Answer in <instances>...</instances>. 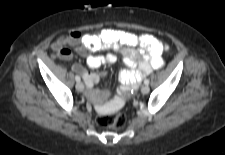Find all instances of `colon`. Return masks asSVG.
<instances>
[{
  "label": "colon",
  "mask_w": 225,
  "mask_h": 155,
  "mask_svg": "<svg viewBox=\"0 0 225 155\" xmlns=\"http://www.w3.org/2000/svg\"><path fill=\"white\" fill-rule=\"evenodd\" d=\"M67 38L68 35L61 36L54 43L57 55H66L69 53V50L64 48ZM96 123L101 127L120 129L126 124V116L121 111L118 113H109L105 111L97 118Z\"/></svg>",
  "instance_id": "1"
}]
</instances>
